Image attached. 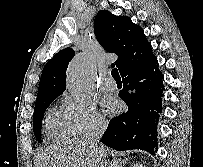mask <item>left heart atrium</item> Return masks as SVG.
Segmentation results:
<instances>
[{
  "mask_svg": "<svg viewBox=\"0 0 203 167\" xmlns=\"http://www.w3.org/2000/svg\"><path fill=\"white\" fill-rule=\"evenodd\" d=\"M102 107L106 113L114 114L118 109V103L111 98H106L102 102Z\"/></svg>",
  "mask_w": 203,
  "mask_h": 167,
  "instance_id": "left-heart-atrium-1",
  "label": "left heart atrium"
}]
</instances>
